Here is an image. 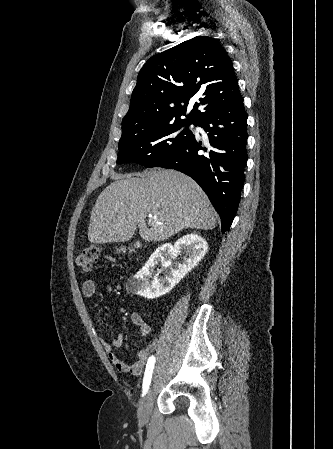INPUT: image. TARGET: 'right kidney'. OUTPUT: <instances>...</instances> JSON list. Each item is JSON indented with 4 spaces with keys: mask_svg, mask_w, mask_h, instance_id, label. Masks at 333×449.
I'll return each instance as SVG.
<instances>
[{
    "mask_svg": "<svg viewBox=\"0 0 333 449\" xmlns=\"http://www.w3.org/2000/svg\"><path fill=\"white\" fill-rule=\"evenodd\" d=\"M207 249L206 240L198 234H187L177 240L174 246L168 243L158 247L136 275L137 294L147 299H155L167 294L201 261ZM182 250L186 252V256L175 269L171 268V259ZM159 261L166 269L164 278H159L153 273ZM169 267L170 270H167ZM152 275L153 279L150 280Z\"/></svg>",
    "mask_w": 333,
    "mask_h": 449,
    "instance_id": "1",
    "label": "right kidney"
}]
</instances>
